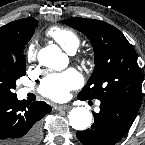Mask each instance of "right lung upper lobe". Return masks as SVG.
Here are the masks:
<instances>
[{"mask_svg":"<svg viewBox=\"0 0 145 145\" xmlns=\"http://www.w3.org/2000/svg\"><path fill=\"white\" fill-rule=\"evenodd\" d=\"M37 20L30 17L8 23L0 28V46L18 42L34 33Z\"/></svg>","mask_w":145,"mask_h":145,"instance_id":"right-lung-upper-lobe-1","label":"right lung upper lobe"}]
</instances>
